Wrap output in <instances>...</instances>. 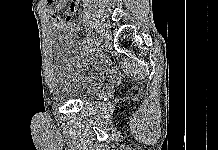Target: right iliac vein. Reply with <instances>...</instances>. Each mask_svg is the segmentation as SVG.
<instances>
[{
    "instance_id": "obj_1",
    "label": "right iliac vein",
    "mask_w": 218,
    "mask_h": 150,
    "mask_svg": "<svg viewBox=\"0 0 218 150\" xmlns=\"http://www.w3.org/2000/svg\"><path fill=\"white\" fill-rule=\"evenodd\" d=\"M98 32L100 33V36L104 42H108L111 38L110 32L104 24H100L98 26ZM95 47L98 45L96 42L93 44Z\"/></svg>"
}]
</instances>
